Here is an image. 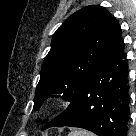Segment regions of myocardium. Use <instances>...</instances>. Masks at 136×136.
Masks as SVG:
<instances>
[{
    "label": "myocardium",
    "instance_id": "obj_1",
    "mask_svg": "<svg viewBox=\"0 0 136 136\" xmlns=\"http://www.w3.org/2000/svg\"><path fill=\"white\" fill-rule=\"evenodd\" d=\"M56 106V101L49 99L41 105V110L44 112L52 110Z\"/></svg>",
    "mask_w": 136,
    "mask_h": 136
}]
</instances>
